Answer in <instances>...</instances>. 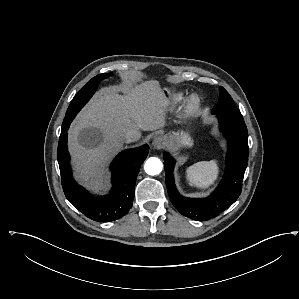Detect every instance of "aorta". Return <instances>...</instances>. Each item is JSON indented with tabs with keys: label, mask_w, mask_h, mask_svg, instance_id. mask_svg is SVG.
<instances>
[{
	"label": "aorta",
	"mask_w": 299,
	"mask_h": 299,
	"mask_svg": "<svg viewBox=\"0 0 299 299\" xmlns=\"http://www.w3.org/2000/svg\"><path fill=\"white\" fill-rule=\"evenodd\" d=\"M163 164L159 158L150 157L144 164V170L148 175H158L162 171Z\"/></svg>",
	"instance_id": "aorta-1"
}]
</instances>
